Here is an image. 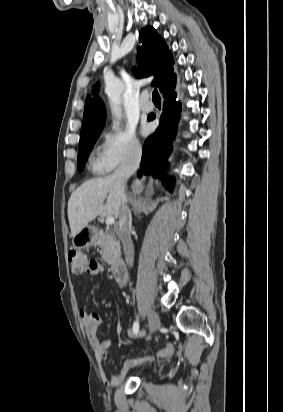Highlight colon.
Here are the masks:
<instances>
[{"mask_svg":"<svg viewBox=\"0 0 283 412\" xmlns=\"http://www.w3.org/2000/svg\"><path fill=\"white\" fill-rule=\"evenodd\" d=\"M68 263L71 272L77 276L95 271L98 267L97 261L87 260L83 254L76 251L69 252Z\"/></svg>","mask_w":283,"mask_h":412,"instance_id":"colon-1","label":"colon"}]
</instances>
